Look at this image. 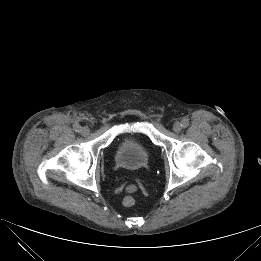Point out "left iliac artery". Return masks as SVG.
Wrapping results in <instances>:
<instances>
[{
    "instance_id": "left-iliac-artery-1",
    "label": "left iliac artery",
    "mask_w": 261,
    "mask_h": 261,
    "mask_svg": "<svg viewBox=\"0 0 261 261\" xmlns=\"http://www.w3.org/2000/svg\"><path fill=\"white\" fill-rule=\"evenodd\" d=\"M188 125H189V120L188 119H183L182 122H181V126L183 128H186V127H188Z\"/></svg>"
}]
</instances>
